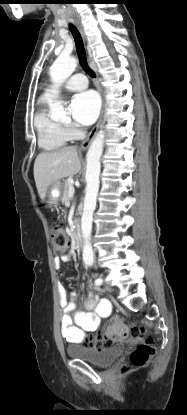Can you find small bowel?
Masks as SVG:
<instances>
[{
  "label": "small bowel",
  "mask_w": 187,
  "mask_h": 415,
  "mask_svg": "<svg viewBox=\"0 0 187 415\" xmlns=\"http://www.w3.org/2000/svg\"><path fill=\"white\" fill-rule=\"evenodd\" d=\"M71 255L66 254L54 259L56 268H60L65 262L70 261ZM60 306L63 311L61 318V334L63 339L71 344H81L84 342L87 333L95 331L103 318L111 314V302L104 298H99L90 292L84 302L85 311L77 312L74 317L72 313L76 310L74 292L67 293L63 287L59 288ZM117 320L113 319L112 323Z\"/></svg>",
  "instance_id": "small-bowel-1"
}]
</instances>
